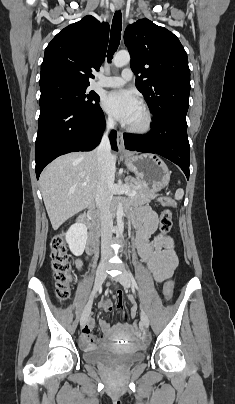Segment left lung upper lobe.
Segmentation results:
<instances>
[{
  "instance_id": "obj_1",
  "label": "left lung upper lobe",
  "mask_w": 235,
  "mask_h": 404,
  "mask_svg": "<svg viewBox=\"0 0 235 404\" xmlns=\"http://www.w3.org/2000/svg\"><path fill=\"white\" fill-rule=\"evenodd\" d=\"M124 42L131 55V69L137 75L136 87L154 117L168 112L186 115L190 70L187 53L177 36L141 19L126 28Z\"/></svg>"
}]
</instances>
